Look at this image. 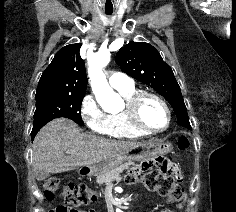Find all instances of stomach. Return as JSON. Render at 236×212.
Segmentation results:
<instances>
[{"label":"stomach","mask_w":236,"mask_h":212,"mask_svg":"<svg viewBox=\"0 0 236 212\" xmlns=\"http://www.w3.org/2000/svg\"><path fill=\"white\" fill-rule=\"evenodd\" d=\"M171 149L172 147L170 144L164 143L160 140L141 142L123 154L110 157L98 164L88 167L87 174L99 176L107 172L108 170L118 167L121 163L125 161L148 160L158 155L167 154L171 151ZM80 172L84 173L83 169L79 170V174Z\"/></svg>","instance_id":"0dacf381"}]
</instances>
